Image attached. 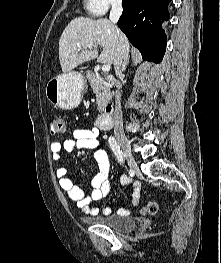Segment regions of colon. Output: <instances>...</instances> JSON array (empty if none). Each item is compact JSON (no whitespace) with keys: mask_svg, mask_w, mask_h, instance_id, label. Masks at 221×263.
<instances>
[{"mask_svg":"<svg viewBox=\"0 0 221 263\" xmlns=\"http://www.w3.org/2000/svg\"><path fill=\"white\" fill-rule=\"evenodd\" d=\"M65 131V124L60 115H53L50 120V133L53 136H59ZM158 209L155 201H150L143 209L145 214H154Z\"/></svg>","mask_w":221,"mask_h":263,"instance_id":"1","label":"colon"}]
</instances>
